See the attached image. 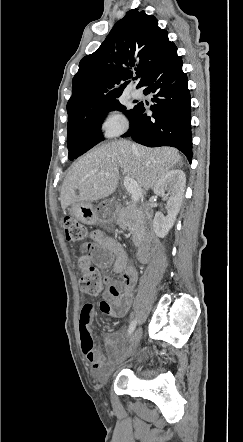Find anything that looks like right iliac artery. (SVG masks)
I'll list each match as a JSON object with an SVG mask.
<instances>
[{"label": "right iliac artery", "instance_id": "obj_1", "mask_svg": "<svg viewBox=\"0 0 243 442\" xmlns=\"http://www.w3.org/2000/svg\"><path fill=\"white\" fill-rule=\"evenodd\" d=\"M135 327H136V320H133L129 325V329H128L129 335H131L133 333V331L135 330Z\"/></svg>", "mask_w": 243, "mask_h": 442}]
</instances>
